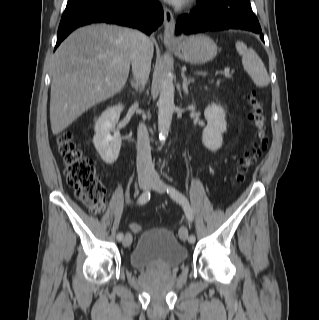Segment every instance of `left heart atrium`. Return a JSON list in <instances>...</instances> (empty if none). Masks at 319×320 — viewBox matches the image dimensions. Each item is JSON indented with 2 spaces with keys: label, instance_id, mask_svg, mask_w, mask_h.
<instances>
[{
  "label": "left heart atrium",
  "instance_id": "left-heart-atrium-1",
  "mask_svg": "<svg viewBox=\"0 0 319 320\" xmlns=\"http://www.w3.org/2000/svg\"><path fill=\"white\" fill-rule=\"evenodd\" d=\"M167 1H169L170 3H173V4H178L183 0H167Z\"/></svg>",
  "mask_w": 319,
  "mask_h": 320
}]
</instances>
